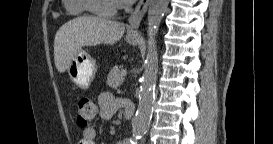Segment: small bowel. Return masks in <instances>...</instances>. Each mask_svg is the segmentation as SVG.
<instances>
[{"instance_id":"obj_1","label":"small bowel","mask_w":273,"mask_h":144,"mask_svg":"<svg viewBox=\"0 0 273 144\" xmlns=\"http://www.w3.org/2000/svg\"><path fill=\"white\" fill-rule=\"evenodd\" d=\"M99 114L103 120H111L123 107L122 100L115 98L111 93L103 91L98 96ZM97 131L93 127H87L82 132L78 144H95Z\"/></svg>"}]
</instances>
